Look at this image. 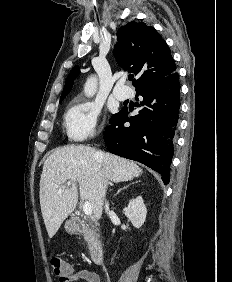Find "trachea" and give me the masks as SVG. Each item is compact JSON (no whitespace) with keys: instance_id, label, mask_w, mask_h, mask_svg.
Listing matches in <instances>:
<instances>
[{"instance_id":"1","label":"trachea","mask_w":232,"mask_h":282,"mask_svg":"<svg viewBox=\"0 0 232 282\" xmlns=\"http://www.w3.org/2000/svg\"><path fill=\"white\" fill-rule=\"evenodd\" d=\"M128 79L131 81L133 79V76L132 75H129L128 76Z\"/></svg>"}]
</instances>
